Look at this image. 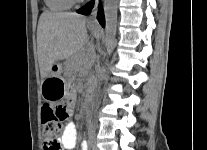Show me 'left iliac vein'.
<instances>
[{
  "label": "left iliac vein",
  "mask_w": 207,
  "mask_h": 150,
  "mask_svg": "<svg viewBox=\"0 0 207 150\" xmlns=\"http://www.w3.org/2000/svg\"><path fill=\"white\" fill-rule=\"evenodd\" d=\"M90 150H98V148H97V146H96L94 141L91 142Z\"/></svg>",
  "instance_id": "left-iliac-vein-1"
}]
</instances>
